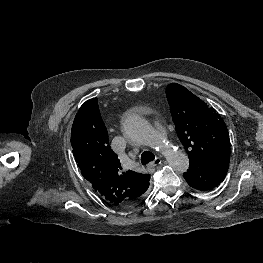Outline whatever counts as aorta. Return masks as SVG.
<instances>
[{"instance_id":"obj_1","label":"aorta","mask_w":263,"mask_h":263,"mask_svg":"<svg viewBox=\"0 0 263 263\" xmlns=\"http://www.w3.org/2000/svg\"><path fill=\"white\" fill-rule=\"evenodd\" d=\"M125 135L140 144L160 147V151L166 156L169 165L176 172H186L189 167L187 155L171 147H164L162 141L156 136L149 123L139 115H129L123 122Z\"/></svg>"}]
</instances>
